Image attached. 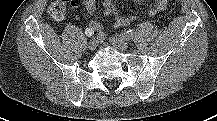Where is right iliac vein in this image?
Masks as SVG:
<instances>
[{
    "label": "right iliac vein",
    "mask_w": 217,
    "mask_h": 121,
    "mask_svg": "<svg viewBox=\"0 0 217 121\" xmlns=\"http://www.w3.org/2000/svg\"><path fill=\"white\" fill-rule=\"evenodd\" d=\"M97 45H98L97 40L92 39V40L88 43L87 47H88L89 50H95L96 47H97Z\"/></svg>",
    "instance_id": "right-iliac-vein-1"
}]
</instances>
